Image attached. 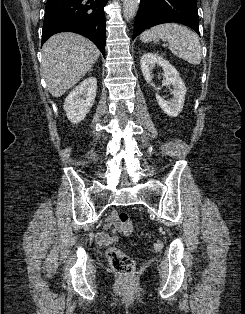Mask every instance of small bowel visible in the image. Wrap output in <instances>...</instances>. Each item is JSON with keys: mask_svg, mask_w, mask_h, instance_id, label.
<instances>
[{"mask_svg": "<svg viewBox=\"0 0 245 314\" xmlns=\"http://www.w3.org/2000/svg\"><path fill=\"white\" fill-rule=\"evenodd\" d=\"M105 231L96 233V240L101 245H111L118 242V232L121 230L115 215L108 217L104 223Z\"/></svg>", "mask_w": 245, "mask_h": 314, "instance_id": "obj_1", "label": "small bowel"}]
</instances>
